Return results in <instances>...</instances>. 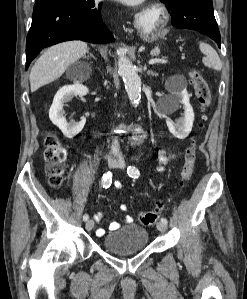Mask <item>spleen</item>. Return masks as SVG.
Wrapping results in <instances>:
<instances>
[{
    "label": "spleen",
    "instance_id": "3e777b00",
    "mask_svg": "<svg viewBox=\"0 0 247 299\" xmlns=\"http://www.w3.org/2000/svg\"><path fill=\"white\" fill-rule=\"evenodd\" d=\"M199 48L200 51L205 55L203 58V63L205 66L217 71L222 69V62L213 47L207 43L201 42L199 43Z\"/></svg>",
    "mask_w": 247,
    "mask_h": 299
}]
</instances>
